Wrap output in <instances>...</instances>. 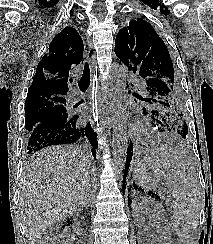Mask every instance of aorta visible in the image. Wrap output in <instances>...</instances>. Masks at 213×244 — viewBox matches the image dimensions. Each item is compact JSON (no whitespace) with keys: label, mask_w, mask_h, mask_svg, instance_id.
<instances>
[{"label":"aorta","mask_w":213,"mask_h":244,"mask_svg":"<svg viewBox=\"0 0 213 244\" xmlns=\"http://www.w3.org/2000/svg\"><path fill=\"white\" fill-rule=\"evenodd\" d=\"M113 89V169L117 178H121L124 173L128 137L126 131V75L125 71L118 63H113L110 68Z\"/></svg>","instance_id":"obj_1"}]
</instances>
